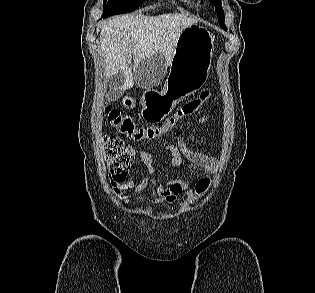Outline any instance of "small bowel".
I'll use <instances>...</instances> for the list:
<instances>
[{
    "label": "small bowel",
    "instance_id": "1",
    "mask_svg": "<svg viewBox=\"0 0 315 293\" xmlns=\"http://www.w3.org/2000/svg\"><path fill=\"white\" fill-rule=\"evenodd\" d=\"M208 119L209 116H205L200 120V122L205 123ZM155 143L158 147L169 151L172 155L168 161L162 164V167L177 166L181 162V157L184 156L193 164L203 168L207 174L214 172L216 169V159L214 157L206 153L196 151L190 146V144L196 143L194 134L191 131H189L186 135L180 134L177 145L161 141H156ZM127 152L130 156L135 155V150L130 146L127 147ZM139 159L146 168L144 178L137 184L131 180L122 183H114L112 187L113 192L118 198L122 200L128 198L122 193L125 190H132L137 194H141L148 186H152L155 192L160 196V199L153 201V203L172 204L183 192L190 188L188 183L179 179L164 180L161 183L158 182L153 176L155 170L152 165V154L148 149H142L139 152Z\"/></svg>",
    "mask_w": 315,
    "mask_h": 293
}]
</instances>
